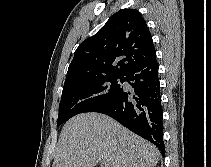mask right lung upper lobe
Listing matches in <instances>:
<instances>
[{"mask_svg": "<svg viewBox=\"0 0 211 167\" xmlns=\"http://www.w3.org/2000/svg\"><path fill=\"white\" fill-rule=\"evenodd\" d=\"M155 55L152 36L141 13L121 9L76 49L64 87L98 77L124 76Z\"/></svg>", "mask_w": 211, "mask_h": 167, "instance_id": "1", "label": "right lung upper lobe"}]
</instances>
